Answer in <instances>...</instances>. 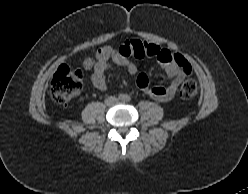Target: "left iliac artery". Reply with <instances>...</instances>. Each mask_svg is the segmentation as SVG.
<instances>
[{
	"instance_id": "1",
	"label": "left iliac artery",
	"mask_w": 248,
	"mask_h": 194,
	"mask_svg": "<svg viewBox=\"0 0 248 194\" xmlns=\"http://www.w3.org/2000/svg\"><path fill=\"white\" fill-rule=\"evenodd\" d=\"M125 100H126V101H130V100H131V97H130L129 95H127V96L125 97Z\"/></svg>"
}]
</instances>
